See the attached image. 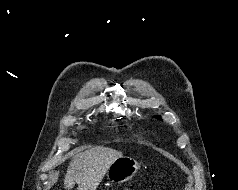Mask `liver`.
<instances>
[{"instance_id":"obj_1","label":"liver","mask_w":238,"mask_h":190,"mask_svg":"<svg viewBox=\"0 0 238 190\" xmlns=\"http://www.w3.org/2000/svg\"><path fill=\"white\" fill-rule=\"evenodd\" d=\"M122 152L106 147H94L74 156L64 179L65 189H72L75 184L78 190H96L108 168Z\"/></svg>"}]
</instances>
